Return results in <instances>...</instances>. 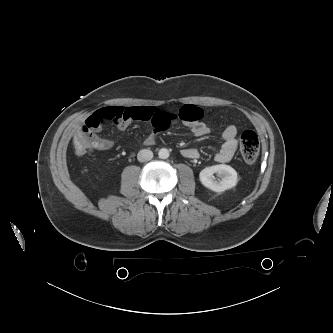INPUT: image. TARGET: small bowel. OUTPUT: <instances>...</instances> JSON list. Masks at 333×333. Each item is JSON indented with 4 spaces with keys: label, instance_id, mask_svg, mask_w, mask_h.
I'll return each mask as SVG.
<instances>
[{
    "label": "small bowel",
    "instance_id": "c3829d8e",
    "mask_svg": "<svg viewBox=\"0 0 333 333\" xmlns=\"http://www.w3.org/2000/svg\"><path fill=\"white\" fill-rule=\"evenodd\" d=\"M203 112L194 105H184L177 113L172 114L157 107H122L110 106L97 110L90 115L77 131L76 137L83 139L88 150L107 151L114 146V141L101 137L98 132L102 129L105 120H111L118 129H126L134 120L151 122L152 133L145 139V144L152 145L157 136L167 130L175 119L188 128L195 136L202 137L209 133V128L202 121ZM238 130L236 126H228L223 134V143L215 155L219 163L229 162L237 152ZM186 158H197L198 151L195 148H184L181 151Z\"/></svg>",
    "mask_w": 333,
    "mask_h": 333
}]
</instances>
